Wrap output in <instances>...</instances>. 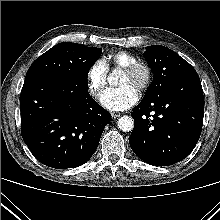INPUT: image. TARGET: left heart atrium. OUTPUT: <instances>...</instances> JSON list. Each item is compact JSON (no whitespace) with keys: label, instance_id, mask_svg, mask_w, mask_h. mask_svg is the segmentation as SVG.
I'll return each mask as SVG.
<instances>
[{"label":"left heart atrium","instance_id":"1","mask_svg":"<svg viewBox=\"0 0 220 220\" xmlns=\"http://www.w3.org/2000/svg\"><path fill=\"white\" fill-rule=\"evenodd\" d=\"M138 100L137 89L125 84L106 89L101 95L100 102L108 110L123 111L133 106Z\"/></svg>","mask_w":220,"mask_h":220}]
</instances>
